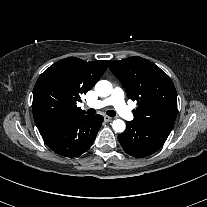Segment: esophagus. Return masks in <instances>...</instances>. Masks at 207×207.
<instances>
[{"mask_svg":"<svg viewBox=\"0 0 207 207\" xmlns=\"http://www.w3.org/2000/svg\"><path fill=\"white\" fill-rule=\"evenodd\" d=\"M111 120H112V118L110 116L104 115V121L105 122H109Z\"/></svg>","mask_w":207,"mask_h":207,"instance_id":"obj_1","label":"esophagus"}]
</instances>
